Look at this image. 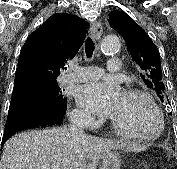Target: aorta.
<instances>
[{"label":"aorta","mask_w":177,"mask_h":169,"mask_svg":"<svg viewBox=\"0 0 177 169\" xmlns=\"http://www.w3.org/2000/svg\"><path fill=\"white\" fill-rule=\"evenodd\" d=\"M120 49L119 38L115 35L106 36L101 43V50L104 54L117 53Z\"/></svg>","instance_id":"762f6f07"}]
</instances>
